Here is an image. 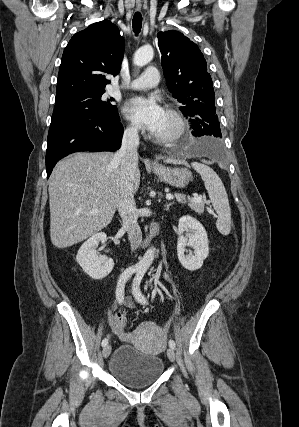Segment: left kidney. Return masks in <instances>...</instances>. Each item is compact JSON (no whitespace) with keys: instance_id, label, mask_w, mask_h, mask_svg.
Returning <instances> with one entry per match:
<instances>
[{"instance_id":"left-kidney-1","label":"left kidney","mask_w":299,"mask_h":427,"mask_svg":"<svg viewBox=\"0 0 299 427\" xmlns=\"http://www.w3.org/2000/svg\"><path fill=\"white\" fill-rule=\"evenodd\" d=\"M185 233V235H184ZM208 236L203 225L191 216H183L178 224L177 255L181 265L190 271L202 267L203 261L208 257ZM186 246L194 249L185 255Z\"/></svg>"}]
</instances>
